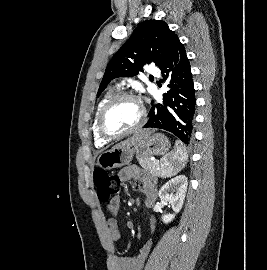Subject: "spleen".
I'll list each match as a JSON object with an SVG mask.
<instances>
[{
    "instance_id": "3e777b00",
    "label": "spleen",
    "mask_w": 267,
    "mask_h": 270,
    "mask_svg": "<svg viewBox=\"0 0 267 270\" xmlns=\"http://www.w3.org/2000/svg\"><path fill=\"white\" fill-rule=\"evenodd\" d=\"M188 160L186 148L180 141H176L175 149L161 160V177H171L181 171Z\"/></svg>"
}]
</instances>
